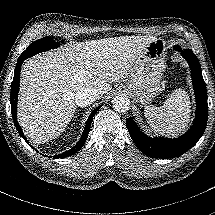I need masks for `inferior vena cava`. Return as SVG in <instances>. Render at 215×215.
<instances>
[{"label": "inferior vena cava", "mask_w": 215, "mask_h": 215, "mask_svg": "<svg viewBox=\"0 0 215 215\" xmlns=\"http://www.w3.org/2000/svg\"><path fill=\"white\" fill-rule=\"evenodd\" d=\"M102 96L95 89L83 88L75 93V104L79 107H86Z\"/></svg>", "instance_id": "1"}]
</instances>
